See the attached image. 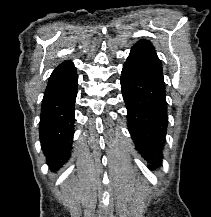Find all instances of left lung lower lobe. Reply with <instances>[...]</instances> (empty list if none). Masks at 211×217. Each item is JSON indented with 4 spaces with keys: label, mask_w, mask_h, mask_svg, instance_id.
Returning a JSON list of instances; mask_svg holds the SVG:
<instances>
[{
    "label": "left lung lower lobe",
    "mask_w": 211,
    "mask_h": 217,
    "mask_svg": "<svg viewBox=\"0 0 211 217\" xmlns=\"http://www.w3.org/2000/svg\"><path fill=\"white\" fill-rule=\"evenodd\" d=\"M121 88L136 149L155 169L160 165L168 125L165 89L126 64L121 73Z\"/></svg>",
    "instance_id": "left-lung-lower-lobe-1"
}]
</instances>
